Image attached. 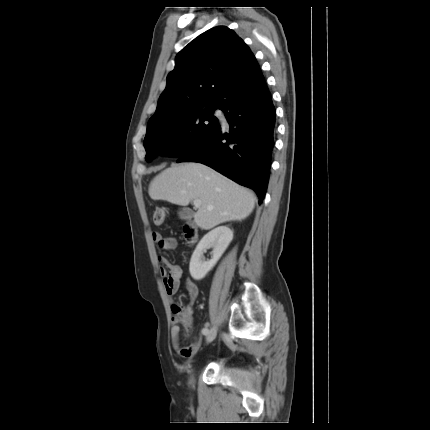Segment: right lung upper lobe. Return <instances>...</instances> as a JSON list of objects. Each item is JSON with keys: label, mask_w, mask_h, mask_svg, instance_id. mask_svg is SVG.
<instances>
[{"label": "right lung upper lobe", "mask_w": 430, "mask_h": 430, "mask_svg": "<svg viewBox=\"0 0 430 430\" xmlns=\"http://www.w3.org/2000/svg\"><path fill=\"white\" fill-rule=\"evenodd\" d=\"M250 48L236 33L214 27L191 41L175 58L148 126L205 105H224L234 93L263 79Z\"/></svg>", "instance_id": "cb5924a9"}]
</instances>
